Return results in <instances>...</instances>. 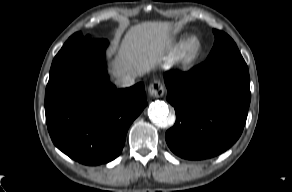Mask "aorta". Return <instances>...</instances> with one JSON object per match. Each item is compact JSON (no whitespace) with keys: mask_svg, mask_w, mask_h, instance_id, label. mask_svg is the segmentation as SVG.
<instances>
[{"mask_svg":"<svg viewBox=\"0 0 292 192\" xmlns=\"http://www.w3.org/2000/svg\"><path fill=\"white\" fill-rule=\"evenodd\" d=\"M148 116L155 125L161 128L169 127L174 122L169 117L168 105L163 101L152 102L148 107Z\"/></svg>","mask_w":292,"mask_h":192,"instance_id":"1","label":"aorta"}]
</instances>
